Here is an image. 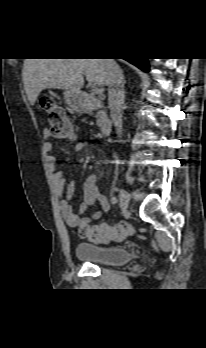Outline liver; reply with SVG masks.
Wrapping results in <instances>:
<instances>
[{
  "instance_id": "obj_1",
  "label": "liver",
  "mask_w": 206,
  "mask_h": 348,
  "mask_svg": "<svg viewBox=\"0 0 206 348\" xmlns=\"http://www.w3.org/2000/svg\"><path fill=\"white\" fill-rule=\"evenodd\" d=\"M84 75L91 83L107 85L104 59H25L22 70L24 89L32 105L47 88L80 92Z\"/></svg>"
}]
</instances>
